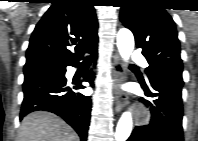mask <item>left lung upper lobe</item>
Listing matches in <instances>:
<instances>
[{"label": "left lung upper lobe", "instance_id": "1", "mask_svg": "<svg viewBox=\"0 0 198 141\" xmlns=\"http://www.w3.org/2000/svg\"><path fill=\"white\" fill-rule=\"evenodd\" d=\"M120 19L133 32L136 46L149 63L148 78L158 73L182 76L178 34L162 1L127 0L121 6Z\"/></svg>", "mask_w": 198, "mask_h": 141}]
</instances>
